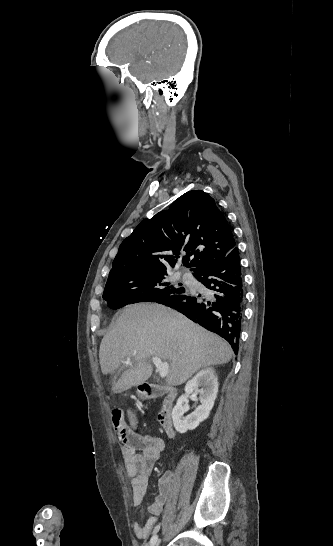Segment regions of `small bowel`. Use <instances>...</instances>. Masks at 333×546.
Returning a JSON list of instances; mask_svg holds the SVG:
<instances>
[{"label": "small bowel", "instance_id": "small-bowel-1", "mask_svg": "<svg viewBox=\"0 0 333 546\" xmlns=\"http://www.w3.org/2000/svg\"><path fill=\"white\" fill-rule=\"evenodd\" d=\"M127 418L130 425L129 433L132 449L122 447L121 452L126 473L131 479L133 503L134 505H140L145 498L153 467L165 449V442L159 436L138 433L136 431L137 418L131 410L127 411ZM137 451H140V453H137ZM172 496V483L169 477H164L160 481L158 495L148 507L150 517L144 524L136 522L133 526L137 537L146 538L152 531L157 529L158 517L162 514Z\"/></svg>", "mask_w": 333, "mask_h": 546}]
</instances>
